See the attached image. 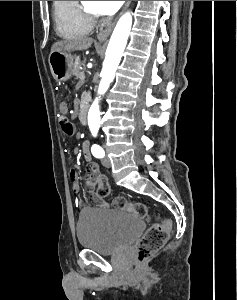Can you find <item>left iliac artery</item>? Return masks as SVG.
Returning <instances> with one entry per match:
<instances>
[{
  "instance_id": "obj_1",
  "label": "left iliac artery",
  "mask_w": 237,
  "mask_h": 300,
  "mask_svg": "<svg viewBox=\"0 0 237 300\" xmlns=\"http://www.w3.org/2000/svg\"><path fill=\"white\" fill-rule=\"evenodd\" d=\"M92 135L96 136L97 134L92 132ZM91 152H92L93 156L96 158H103L105 155L103 148L97 144L92 145Z\"/></svg>"
}]
</instances>
